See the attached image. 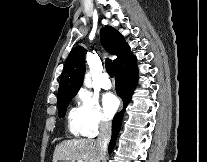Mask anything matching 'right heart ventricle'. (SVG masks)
Returning a JSON list of instances; mask_svg holds the SVG:
<instances>
[{"label":"right heart ventricle","instance_id":"e07e8e85","mask_svg":"<svg viewBox=\"0 0 207 162\" xmlns=\"http://www.w3.org/2000/svg\"><path fill=\"white\" fill-rule=\"evenodd\" d=\"M68 130L75 136H82L81 112L79 107H71L67 116Z\"/></svg>","mask_w":207,"mask_h":162}]
</instances>
